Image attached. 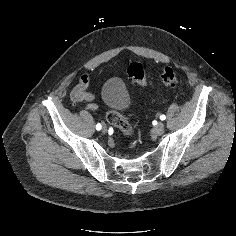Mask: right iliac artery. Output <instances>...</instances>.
Masks as SVG:
<instances>
[{"label": "right iliac artery", "mask_w": 236, "mask_h": 236, "mask_svg": "<svg viewBox=\"0 0 236 236\" xmlns=\"http://www.w3.org/2000/svg\"><path fill=\"white\" fill-rule=\"evenodd\" d=\"M101 128H102V126H101V124L100 123H98L97 125H96V130H101Z\"/></svg>", "instance_id": "right-iliac-artery-1"}]
</instances>
